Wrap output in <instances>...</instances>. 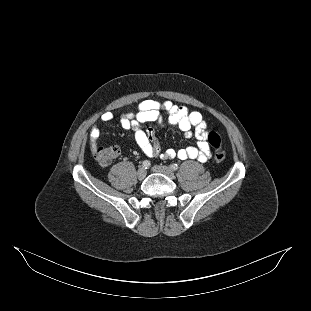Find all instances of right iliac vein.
I'll use <instances>...</instances> for the list:
<instances>
[{
    "label": "right iliac vein",
    "mask_w": 311,
    "mask_h": 311,
    "mask_svg": "<svg viewBox=\"0 0 311 311\" xmlns=\"http://www.w3.org/2000/svg\"><path fill=\"white\" fill-rule=\"evenodd\" d=\"M146 170L144 168H140L138 171H137V177L139 180H142L146 177Z\"/></svg>",
    "instance_id": "right-iliac-vein-1"
}]
</instances>
